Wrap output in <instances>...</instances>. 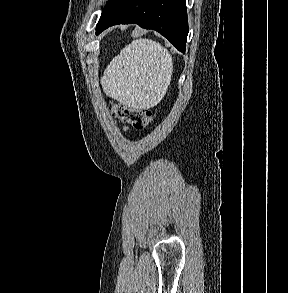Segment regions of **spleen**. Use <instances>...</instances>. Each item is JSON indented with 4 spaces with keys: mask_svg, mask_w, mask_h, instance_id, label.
Instances as JSON below:
<instances>
[{
    "mask_svg": "<svg viewBox=\"0 0 288 293\" xmlns=\"http://www.w3.org/2000/svg\"><path fill=\"white\" fill-rule=\"evenodd\" d=\"M172 72V57L166 48L150 39H136L112 59L101 84L107 96L145 109L162 100Z\"/></svg>",
    "mask_w": 288,
    "mask_h": 293,
    "instance_id": "obj_1",
    "label": "spleen"
}]
</instances>
